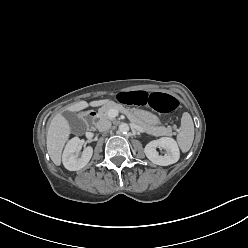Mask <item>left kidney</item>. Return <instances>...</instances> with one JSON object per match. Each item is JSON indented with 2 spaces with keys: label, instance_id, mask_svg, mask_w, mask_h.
Here are the masks:
<instances>
[{
  "label": "left kidney",
  "instance_id": "1",
  "mask_svg": "<svg viewBox=\"0 0 248 248\" xmlns=\"http://www.w3.org/2000/svg\"><path fill=\"white\" fill-rule=\"evenodd\" d=\"M157 148L166 150L164 155H159ZM145 155L154 164L168 166L179 160L180 153L176 141L170 137H162L149 142L144 148Z\"/></svg>",
  "mask_w": 248,
  "mask_h": 248
}]
</instances>
